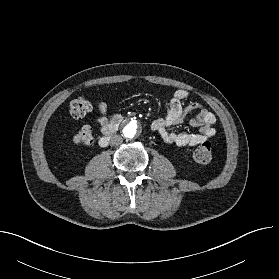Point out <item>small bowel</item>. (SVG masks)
<instances>
[{"instance_id":"small-bowel-1","label":"small bowel","mask_w":279,"mask_h":279,"mask_svg":"<svg viewBox=\"0 0 279 279\" xmlns=\"http://www.w3.org/2000/svg\"><path fill=\"white\" fill-rule=\"evenodd\" d=\"M188 97L189 92L187 90H176L168 102L166 114L154 120L151 124L152 130L158 133L167 144L179 147H193L212 139L216 135L214 127L216 122L215 115L196 102L184 107L183 101ZM97 108L98 111L94 116V120L98 124L100 132L104 135L114 117L111 120L108 118L107 104L104 101H100ZM194 110H199V112L190 120V124L194 127H200L198 133H175L170 130L172 126L181 123L184 117Z\"/></svg>"}]
</instances>
